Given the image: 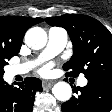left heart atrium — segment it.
I'll return each mask as SVG.
<instances>
[{"instance_id":"1","label":"left heart atrium","mask_w":112,"mask_h":112,"mask_svg":"<svg viewBox=\"0 0 112 112\" xmlns=\"http://www.w3.org/2000/svg\"><path fill=\"white\" fill-rule=\"evenodd\" d=\"M53 66V63H46V64H43L40 68H39V73L42 74V75H45V74H48L51 70Z\"/></svg>"}]
</instances>
